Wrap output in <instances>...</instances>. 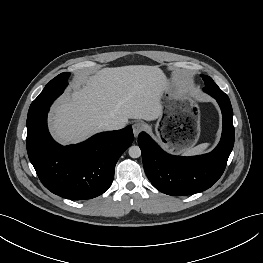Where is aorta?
Listing matches in <instances>:
<instances>
[{"label":"aorta","mask_w":263,"mask_h":263,"mask_svg":"<svg viewBox=\"0 0 263 263\" xmlns=\"http://www.w3.org/2000/svg\"><path fill=\"white\" fill-rule=\"evenodd\" d=\"M128 153L131 158H138L141 156V149L139 146L133 145L129 147Z\"/></svg>","instance_id":"762f6f07"}]
</instances>
